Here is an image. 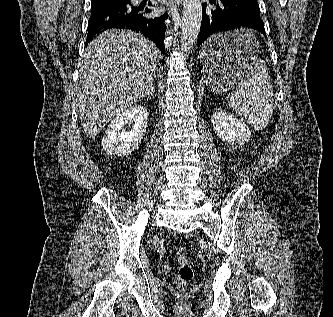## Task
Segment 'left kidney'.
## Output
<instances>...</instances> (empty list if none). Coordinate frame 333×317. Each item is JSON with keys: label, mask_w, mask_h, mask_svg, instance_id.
I'll use <instances>...</instances> for the list:
<instances>
[{"label": "left kidney", "mask_w": 333, "mask_h": 317, "mask_svg": "<svg viewBox=\"0 0 333 317\" xmlns=\"http://www.w3.org/2000/svg\"><path fill=\"white\" fill-rule=\"evenodd\" d=\"M211 119L215 133L224 142L243 146L250 140L251 132L247 125L227 111L217 110L213 112Z\"/></svg>", "instance_id": "obj_1"}]
</instances>
